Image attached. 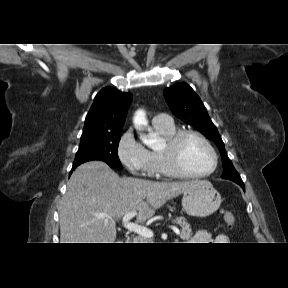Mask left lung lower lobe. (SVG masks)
<instances>
[{
	"mask_svg": "<svg viewBox=\"0 0 288 288\" xmlns=\"http://www.w3.org/2000/svg\"><path fill=\"white\" fill-rule=\"evenodd\" d=\"M240 186L245 190L244 185H240Z\"/></svg>",
	"mask_w": 288,
	"mask_h": 288,
	"instance_id": "left-lung-lower-lobe-1",
	"label": "left lung lower lobe"
}]
</instances>
